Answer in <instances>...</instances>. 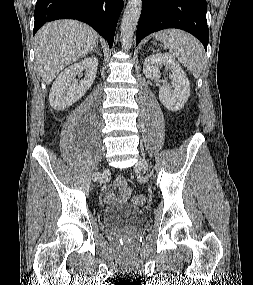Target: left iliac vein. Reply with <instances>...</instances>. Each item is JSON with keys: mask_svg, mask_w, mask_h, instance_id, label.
<instances>
[{"mask_svg": "<svg viewBox=\"0 0 253 285\" xmlns=\"http://www.w3.org/2000/svg\"><path fill=\"white\" fill-rule=\"evenodd\" d=\"M135 170L136 171H148V167L146 165V162L144 161V159L140 158L137 165L135 166Z\"/></svg>", "mask_w": 253, "mask_h": 285, "instance_id": "4c4485c4", "label": "left iliac vein"}]
</instances>
